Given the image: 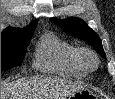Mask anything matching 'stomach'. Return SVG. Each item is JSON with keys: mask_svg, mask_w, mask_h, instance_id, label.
<instances>
[{"mask_svg": "<svg viewBox=\"0 0 115 99\" xmlns=\"http://www.w3.org/2000/svg\"><path fill=\"white\" fill-rule=\"evenodd\" d=\"M97 99L96 95L88 89H80L68 96V99Z\"/></svg>", "mask_w": 115, "mask_h": 99, "instance_id": "stomach-1", "label": "stomach"}]
</instances>
